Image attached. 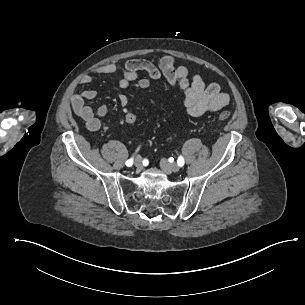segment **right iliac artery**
<instances>
[{
  "label": "right iliac artery",
  "instance_id": "right-iliac-artery-1",
  "mask_svg": "<svg viewBox=\"0 0 305 305\" xmlns=\"http://www.w3.org/2000/svg\"><path fill=\"white\" fill-rule=\"evenodd\" d=\"M125 164H126L127 166H129V167L132 166V164H133V158L127 160Z\"/></svg>",
  "mask_w": 305,
  "mask_h": 305
}]
</instances>
